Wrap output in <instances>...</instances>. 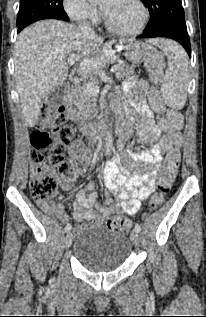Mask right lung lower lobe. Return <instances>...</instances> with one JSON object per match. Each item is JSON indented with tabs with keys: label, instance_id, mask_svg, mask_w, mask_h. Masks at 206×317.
Wrapping results in <instances>:
<instances>
[{
	"label": "right lung lower lobe",
	"instance_id": "1",
	"mask_svg": "<svg viewBox=\"0 0 206 317\" xmlns=\"http://www.w3.org/2000/svg\"><path fill=\"white\" fill-rule=\"evenodd\" d=\"M68 20H69V18L67 17V19L65 21H68ZM18 32H20V31H18Z\"/></svg>",
	"mask_w": 206,
	"mask_h": 317
}]
</instances>
